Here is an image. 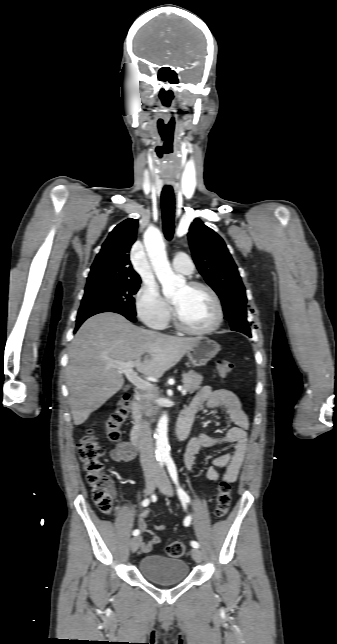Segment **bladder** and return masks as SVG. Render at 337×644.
<instances>
[{"label": "bladder", "instance_id": "obj_1", "mask_svg": "<svg viewBox=\"0 0 337 644\" xmlns=\"http://www.w3.org/2000/svg\"><path fill=\"white\" fill-rule=\"evenodd\" d=\"M138 569L144 578L160 585L180 583L189 575V566L184 560L162 555L144 556Z\"/></svg>", "mask_w": 337, "mask_h": 644}]
</instances>
